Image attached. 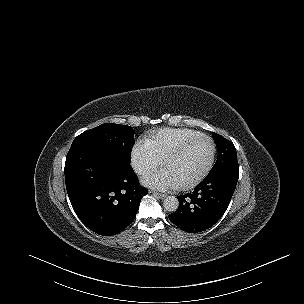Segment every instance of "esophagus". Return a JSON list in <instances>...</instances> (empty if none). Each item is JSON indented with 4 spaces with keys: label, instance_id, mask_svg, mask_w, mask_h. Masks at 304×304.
<instances>
[{
    "label": "esophagus",
    "instance_id": "esophagus-1",
    "mask_svg": "<svg viewBox=\"0 0 304 304\" xmlns=\"http://www.w3.org/2000/svg\"><path fill=\"white\" fill-rule=\"evenodd\" d=\"M150 193H152L153 195L157 196L160 199H164V198L167 197V194H162V193H159V192H156V191H150Z\"/></svg>",
    "mask_w": 304,
    "mask_h": 304
}]
</instances>
